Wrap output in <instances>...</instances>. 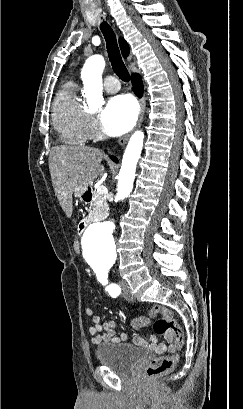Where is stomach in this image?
<instances>
[{
	"instance_id": "0dacf381",
	"label": "stomach",
	"mask_w": 243,
	"mask_h": 409,
	"mask_svg": "<svg viewBox=\"0 0 243 409\" xmlns=\"http://www.w3.org/2000/svg\"><path fill=\"white\" fill-rule=\"evenodd\" d=\"M86 190H87L86 187L80 186V185H76V186L74 187L73 192H74V194H75L77 197L82 198V197L84 196Z\"/></svg>"
}]
</instances>
